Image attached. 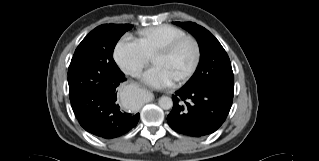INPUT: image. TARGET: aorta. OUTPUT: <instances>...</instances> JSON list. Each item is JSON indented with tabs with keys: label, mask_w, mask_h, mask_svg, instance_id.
<instances>
[{
	"label": "aorta",
	"mask_w": 319,
	"mask_h": 161,
	"mask_svg": "<svg viewBox=\"0 0 319 161\" xmlns=\"http://www.w3.org/2000/svg\"><path fill=\"white\" fill-rule=\"evenodd\" d=\"M159 106L164 109V110H169L172 108L173 106V101L172 98L168 97V96H162L159 101Z\"/></svg>",
	"instance_id": "762f6f07"
}]
</instances>
